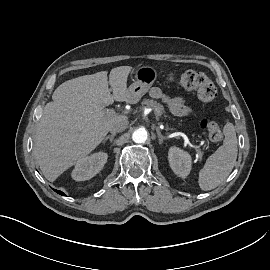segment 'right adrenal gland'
Returning a JSON list of instances; mask_svg holds the SVG:
<instances>
[{"instance_id": "obj_1", "label": "right adrenal gland", "mask_w": 270, "mask_h": 270, "mask_svg": "<svg viewBox=\"0 0 270 270\" xmlns=\"http://www.w3.org/2000/svg\"><path fill=\"white\" fill-rule=\"evenodd\" d=\"M116 133H112L111 135H108L106 136L104 139H103V143L106 142L107 140H109L110 142L113 141L114 137H115Z\"/></svg>"}]
</instances>
